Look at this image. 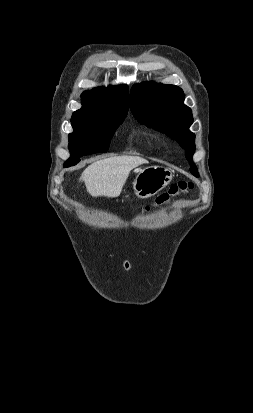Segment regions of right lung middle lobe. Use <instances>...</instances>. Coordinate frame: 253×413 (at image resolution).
<instances>
[{"instance_id":"obj_1","label":"right lung middle lobe","mask_w":253,"mask_h":413,"mask_svg":"<svg viewBox=\"0 0 253 413\" xmlns=\"http://www.w3.org/2000/svg\"><path fill=\"white\" fill-rule=\"evenodd\" d=\"M125 116L72 123L74 131L69 134L71 157L65 162L64 167L77 164L82 156L106 152L115 130L124 121Z\"/></svg>"}]
</instances>
